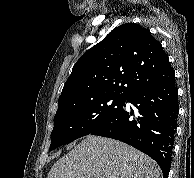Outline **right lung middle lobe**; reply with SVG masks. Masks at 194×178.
Returning <instances> with one entry per match:
<instances>
[{
    "mask_svg": "<svg viewBox=\"0 0 194 178\" xmlns=\"http://www.w3.org/2000/svg\"><path fill=\"white\" fill-rule=\"evenodd\" d=\"M126 100L127 97L104 95L57 110L49 151L88 135L121 110Z\"/></svg>",
    "mask_w": 194,
    "mask_h": 178,
    "instance_id": "right-lung-middle-lobe-1",
    "label": "right lung middle lobe"
}]
</instances>
